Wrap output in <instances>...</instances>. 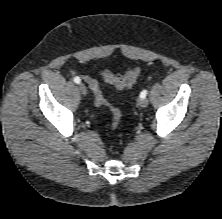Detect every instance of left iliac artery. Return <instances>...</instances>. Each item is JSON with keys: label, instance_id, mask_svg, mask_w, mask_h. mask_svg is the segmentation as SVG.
<instances>
[{"label": "left iliac artery", "instance_id": "obj_1", "mask_svg": "<svg viewBox=\"0 0 222 219\" xmlns=\"http://www.w3.org/2000/svg\"><path fill=\"white\" fill-rule=\"evenodd\" d=\"M147 96V90H143L141 93H140V98H146Z\"/></svg>", "mask_w": 222, "mask_h": 219}]
</instances>
